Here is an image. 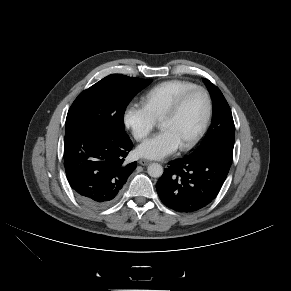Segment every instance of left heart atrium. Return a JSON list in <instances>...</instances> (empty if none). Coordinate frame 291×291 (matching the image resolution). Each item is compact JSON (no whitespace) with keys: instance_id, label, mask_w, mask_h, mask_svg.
Segmentation results:
<instances>
[{"instance_id":"1","label":"left heart atrium","mask_w":291,"mask_h":291,"mask_svg":"<svg viewBox=\"0 0 291 291\" xmlns=\"http://www.w3.org/2000/svg\"><path fill=\"white\" fill-rule=\"evenodd\" d=\"M180 147L175 135L169 130H162L159 134L147 139L137 148L139 156L147 159H161Z\"/></svg>"}]
</instances>
